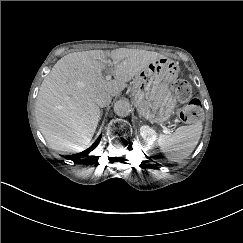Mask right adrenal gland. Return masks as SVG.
Returning a JSON list of instances; mask_svg holds the SVG:
<instances>
[{
  "label": "right adrenal gland",
  "instance_id": "1",
  "mask_svg": "<svg viewBox=\"0 0 243 243\" xmlns=\"http://www.w3.org/2000/svg\"><path fill=\"white\" fill-rule=\"evenodd\" d=\"M102 115V111H100V116Z\"/></svg>",
  "mask_w": 243,
  "mask_h": 243
}]
</instances>
